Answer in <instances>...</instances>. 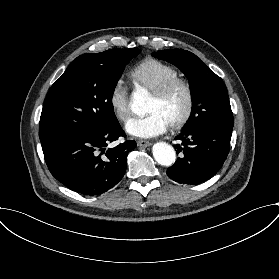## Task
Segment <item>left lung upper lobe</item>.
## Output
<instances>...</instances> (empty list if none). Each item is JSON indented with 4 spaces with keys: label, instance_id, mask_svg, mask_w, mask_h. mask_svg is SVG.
Segmentation results:
<instances>
[{
    "label": "left lung upper lobe",
    "instance_id": "obj_1",
    "mask_svg": "<svg viewBox=\"0 0 279 279\" xmlns=\"http://www.w3.org/2000/svg\"><path fill=\"white\" fill-rule=\"evenodd\" d=\"M152 55L177 66L189 80L193 104L184 129L201 124L233 128V114L223 80L196 55L183 49L160 50Z\"/></svg>",
    "mask_w": 279,
    "mask_h": 279
}]
</instances>
